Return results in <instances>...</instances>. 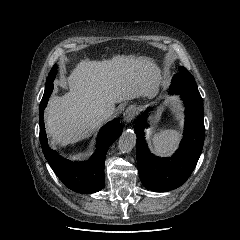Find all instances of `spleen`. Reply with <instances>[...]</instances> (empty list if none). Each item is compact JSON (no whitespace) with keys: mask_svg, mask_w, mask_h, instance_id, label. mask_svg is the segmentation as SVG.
<instances>
[{"mask_svg":"<svg viewBox=\"0 0 240 240\" xmlns=\"http://www.w3.org/2000/svg\"><path fill=\"white\" fill-rule=\"evenodd\" d=\"M179 140L180 133L170 129L155 134L152 138V143L157 154L166 155L174 150Z\"/></svg>","mask_w":240,"mask_h":240,"instance_id":"3e777b00","label":"spleen"}]
</instances>
